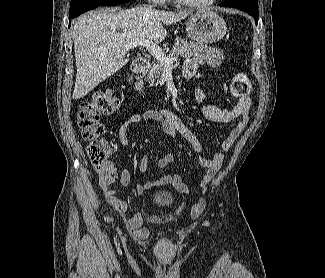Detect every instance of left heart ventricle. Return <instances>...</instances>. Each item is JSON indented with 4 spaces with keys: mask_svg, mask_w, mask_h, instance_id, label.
Here are the masks:
<instances>
[{
    "mask_svg": "<svg viewBox=\"0 0 325 278\" xmlns=\"http://www.w3.org/2000/svg\"><path fill=\"white\" fill-rule=\"evenodd\" d=\"M192 1H195V2H203V1H206V0H192Z\"/></svg>",
    "mask_w": 325,
    "mask_h": 278,
    "instance_id": "b2bd125f",
    "label": "left heart ventricle"
}]
</instances>
